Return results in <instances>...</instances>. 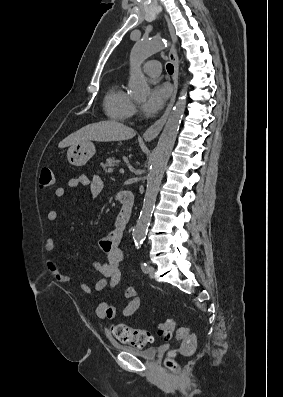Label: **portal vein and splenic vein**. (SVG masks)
I'll list each match as a JSON object with an SVG mask.
<instances>
[{"label": "portal vein and splenic vein", "instance_id": "18ae733b", "mask_svg": "<svg viewBox=\"0 0 283 397\" xmlns=\"http://www.w3.org/2000/svg\"><path fill=\"white\" fill-rule=\"evenodd\" d=\"M119 172H120L121 174H124L125 171H124L123 168H120Z\"/></svg>", "mask_w": 283, "mask_h": 397}]
</instances>
